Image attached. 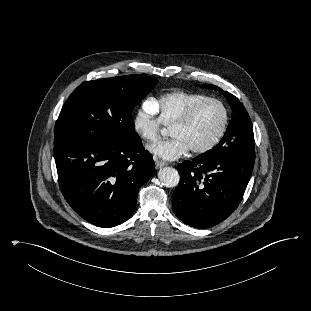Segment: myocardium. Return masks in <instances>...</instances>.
Instances as JSON below:
<instances>
[{
	"label": "myocardium",
	"instance_id": "obj_1",
	"mask_svg": "<svg viewBox=\"0 0 311 311\" xmlns=\"http://www.w3.org/2000/svg\"><path fill=\"white\" fill-rule=\"evenodd\" d=\"M210 102L217 103L222 108V111H223L222 124H221V127L218 130L217 134L214 136V138L209 143H207L206 145H204L202 147L191 149V151L195 154L206 153V152L212 150L221 141L222 137L224 136V134L227 130L228 123H229V111H228L226 104L218 98L207 97V98L197 102L193 106H191L177 121H175L171 125V127H173V126H185V125L189 124L192 121V119L194 118V116L196 115V113L199 111V109L203 105L210 103Z\"/></svg>",
	"mask_w": 311,
	"mask_h": 311
}]
</instances>
